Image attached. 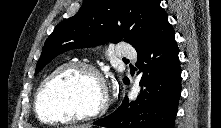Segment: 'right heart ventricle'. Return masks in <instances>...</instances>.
I'll return each instance as SVG.
<instances>
[{
    "label": "right heart ventricle",
    "instance_id": "e07e8e85",
    "mask_svg": "<svg viewBox=\"0 0 221 128\" xmlns=\"http://www.w3.org/2000/svg\"><path fill=\"white\" fill-rule=\"evenodd\" d=\"M60 66H61V65L55 67V68L51 71V73H52L53 71L57 70Z\"/></svg>",
    "mask_w": 221,
    "mask_h": 128
}]
</instances>
